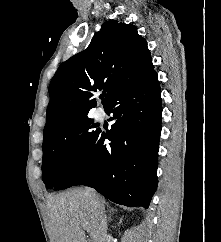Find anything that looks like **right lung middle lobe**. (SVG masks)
Returning a JSON list of instances; mask_svg holds the SVG:
<instances>
[{"mask_svg":"<svg viewBox=\"0 0 221 242\" xmlns=\"http://www.w3.org/2000/svg\"><path fill=\"white\" fill-rule=\"evenodd\" d=\"M93 127V120L84 116L44 137L42 179L47 188L55 187L78 162L99 132Z\"/></svg>","mask_w":221,"mask_h":242,"instance_id":"obj_1","label":"right lung middle lobe"}]
</instances>
